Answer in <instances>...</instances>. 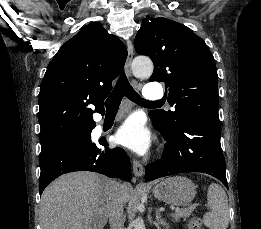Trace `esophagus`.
I'll use <instances>...</instances> for the list:
<instances>
[{
  "mask_svg": "<svg viewBox=\"0 0 261 229\" xmlns=\"http://www.w3.org/2000/svg\"><path fill=\"white\" fill-rule=\"evenodd\" d=\"M127 51H128V55L125 63V72L128 77H132L131 64L133 60V45L131 41L127 42ZM132 167H133L134 175L137 178H141L144 175V166L137 159L133 160ZM140 185L146 186L145 183H141Z\"/></svg>",
  "mask_w": 261,
  "mask_h": 229,
  "instance_id": "1",
  "label": "esophagus"
}]
</instances>
